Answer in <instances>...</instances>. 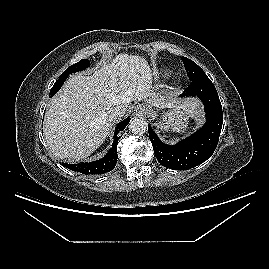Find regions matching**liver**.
Returning a JSON list of instances; mask_svg holds the SVG:
<instances>
[{
  "label": "liver",
  "instance_id": "liver-1",
  "mask_svg": "<svg viewBox=\"0 0 269 269\" xmlns=\"http://www.w3.org/2000/svg\"><path fill=\"white\" fill-rule=\"evenodd\" d=\"M151 70L139 55L118 54L90 76L73 74L51 100L44 121V136L58 159L70 162L87 158L109 135L112 108L131 109L132 101L145 99L153 106L184 109L199 115V102L164 103L150 95ZM149 97V99H148Z\"/></svg>",
  "mask_w": 269,
  "mask_h": 269
}]
</instances>
